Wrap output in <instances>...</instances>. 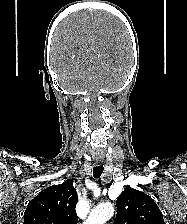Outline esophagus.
<instances>
[{"label":"esophagus","instance_id":"34e87169","mask_svg":"<svg viewBox=\"0 0 187 224\" xmlns=\"http://www.w3.org/2000/svg\"><path fill=\"white\" fill-rule=\"evenodd\" d=\"M96 164H97V165H100V164H101V162H96Z\"/></svg>","mask_w":187,"mask_h":224}]
</instances>
